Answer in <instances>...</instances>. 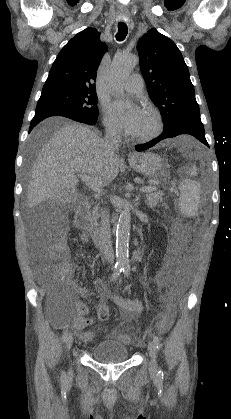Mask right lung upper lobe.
<instances>
[{
  "mask_svg": "<svg viewBox=\"0 0 231 419\" xmlns=\"http://www.w3.org/2000/svg\"><path fill=\"white\" fill-rule=\"evenodd\" d=\"M106 50L96 29L79 32L58 54L44 87L66 86L95 91L96 71Z\"/></svg>",
  "mask_w": 231,
  "mask_h": 419,
  "instance_id": "obj_1",
  "label": "right lung upper lobe"
}]
</instances>
